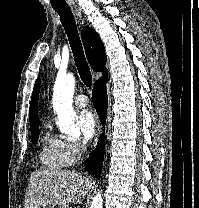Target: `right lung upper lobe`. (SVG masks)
<instances>
[{
  "label": "right lung upper lobe",
  "mask_w": 199,
  "mask_h": 208,
  "mask_svg": "<svg viewBox=\"0 0 199 208\" xmlns=\"http://www.w3.org/2000/svg\"><path fill=\"white\" fill-rule=\"evenodd\" d=\"M81 38L83 41L87 59L92 69L94 71H100L103 73V76L97 82L106 79L108 72L107 69L105 68L107 57L104 51V44L101 41L99 35L94 29L90 27H84L81 32ZM39 88H40V79H37L33 89L30 108H29V120H30L31 130L36 129L39 126V118L37 113Z\"/></svg>",
  "instance_id": "obj_1"
}]
</instances>
